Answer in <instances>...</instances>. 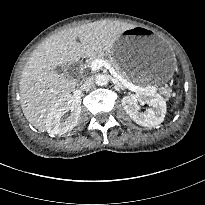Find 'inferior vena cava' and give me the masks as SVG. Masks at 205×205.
Returning a JSON list of instances; mask_svg holds the SVG:
<instances>
[{
  "instance_id": "602c4592",
  "label": "inferior vena cava",
  "mask_w": 205,
  "mask_h": 205,
  "mask_svg": "<svg viewBox=\"0 0 205 205\" xmlns=\"http://www.w3.org/2000/svg\"><path fill=\"white\" fill-rule=\"evenodd\" d=\"M93 86V79L92 78H87L84 80L83 84L81 85L80 89L81 90H86L89 89Z\"/></svg>"
}]
</instances>
